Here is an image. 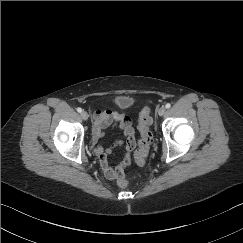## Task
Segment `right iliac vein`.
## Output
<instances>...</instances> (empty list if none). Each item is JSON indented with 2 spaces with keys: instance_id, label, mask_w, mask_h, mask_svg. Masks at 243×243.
Here are the masks:
<instances>
[{
  "instance_id": "63e3f726",
  "label": "right iliac vein",
  "mask_w": 243,
  "mask_h": 243,
  "mask_svg": "<svg viewBox=\"0 0 243 243\" xmlns=\"http://www.w3.org/2000/svg\"><path fill=\"white\" fill-rule=\"evenodd\" d=\"M81 117H82L83 120H87L88 117H89V115H88L87 112L83 111V112L81 113Z\"/></svg>"
}]
</instances>
